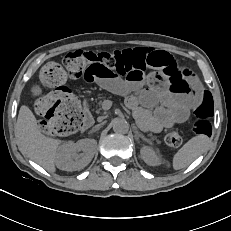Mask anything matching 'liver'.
<instances>
[{"label":"liver","mask_w":231,"mask_h":231,"mask_svg":"<svg viewBox=\"0 0 231 231\" xmlns=\"http://www.w3.org/2000/svg\"><path fill=\"white\" fill-rule=\"evenodd\" d=\"M16 133L22 151L48 171L55 172L57 152L61 140L42 134L33 112L25 105L19 110Z\"/></svg>","instance_id":"obj_1"}]
</instances>
